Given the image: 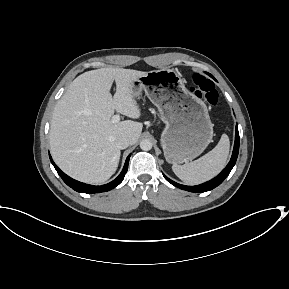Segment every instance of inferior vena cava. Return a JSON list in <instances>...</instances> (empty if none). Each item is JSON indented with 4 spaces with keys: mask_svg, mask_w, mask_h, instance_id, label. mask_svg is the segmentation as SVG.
I'll return each mask as SVG.
<instances>
[{
    "mask_svg": "<svg viewBox=\"0 0 289 289\" xmlns=\"http://www.w3.org/2000/svg\"><path fill=\"white\" fill-rule=\"evenodd\" d=\"M130 145V140L126 136L117 139V147L119 149H126Z\"/></svg>",
    "mask_w": 289,
    "mask_h": 289,
    "instance_id": "1",
    "label": "inferior vena cava"
}]
</instances>
